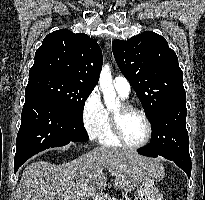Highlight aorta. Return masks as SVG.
<instances>
[{
  "instance_id": "aorta-1",
  "label": "aorta",
  "mask_w": 205,
  "mask_h": 200,
  "mask_svg": "<svg viewBox=\"0 0 205 200\" xmlns=\"http://www.w3.org/2000/svg\"><path fill=\"white\" fill-rule=\"evenodd\" d=\"M101 91L107 108H113L118 104L117 95L113 86L110 66L104 65L99 78Z\"/></svg>"
}]
</instances>
